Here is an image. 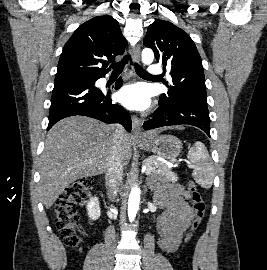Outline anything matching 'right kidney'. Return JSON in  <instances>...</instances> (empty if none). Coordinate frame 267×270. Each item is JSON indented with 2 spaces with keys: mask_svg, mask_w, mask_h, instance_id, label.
Returning a JSON list of instances; mask_svg holds the SVG:
<instances>
[{
  "mask_svg": "<svg viewBox=\"0 0 267 270\" xmlns=\"http://www.w3.org/2000/svg\"><path fill=\"white\" fill-rule=\"evenodd\" d=\"M86 209L90 219L97 220L101 215L98 198L91 197L89 202L87 203Z\"/></svg>",
  "mask_w": 267,
  "mask_h": 270,
  "instance_id": "right-kidney-1",
  "label": "right kidney"
}]
</instances>
